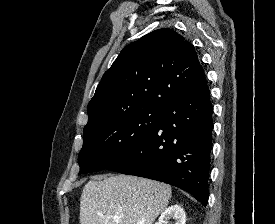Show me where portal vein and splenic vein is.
<instances>
[{
  "mask_svg": "<svg viewBox=\"0 0 275 224\" xmlns=\"http://www.w3.org/2000/svg\"><path fill=\"white\" fill-rule=\"evenodd\" d=\"M114 220L117 222V223H119V221H120V218H118V217H115L114 218ZM139 224H142V223H139Z\"/></svg>",
  "mask_w": 275,
  "mask_h": 224,
  "instance_id": "18ae733b",
  "label": "portal vein and splenic vein"
}]
</instances>
